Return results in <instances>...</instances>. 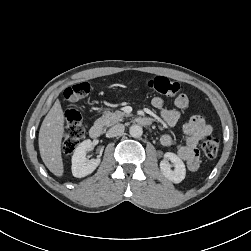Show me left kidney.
Here are the masks:
<instances>
[{"instance_id": "1", "label": "left kidney", "mask_w": 251, "mask_h": 251, "mask_svg": "<svg viewBox=\"0 0 251 251\" xmlns=\"http://www.w3.org/2000/svg\"><path fill=\"white\" fill-rule=\"evenodd\" d=\"M168 160L173 163L174 170L170 168ZM160 170L167 179L174 183H180L184 180L186 175V169L183 161L172 152L165 153L164 159L160 162Z\"/></svg>"}]
</instances>
